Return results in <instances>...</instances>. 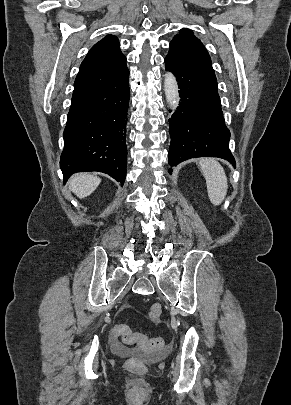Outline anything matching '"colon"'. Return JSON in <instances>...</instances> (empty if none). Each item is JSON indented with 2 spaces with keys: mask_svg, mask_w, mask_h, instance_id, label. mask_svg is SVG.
Here are the masks:
<instances>
[{
  "mask_svg": "<svg viewBox=\"0 0 291 405\" xmlns=\"http://www.w3.org/2000/svg\"><path fill=\"white\" fill-rule=\"evenodd\" d=\"M162 314L160 304H153L150 308L149 316L152 320L158 319ZM112 338L121 340L128 345L137 344L142 350L152 351L161 349L164 345L162 338H149L145 335L133 332L126 324H117L112 330ZM126 366L130 369H142L145 366L144 359L141 357H129Z\"/></svg>",
  "mask_w": 291,
  "mask_h": 405,
  "instance_id": "5ec220e1",
  "label": "colon"
}]
</instances>
